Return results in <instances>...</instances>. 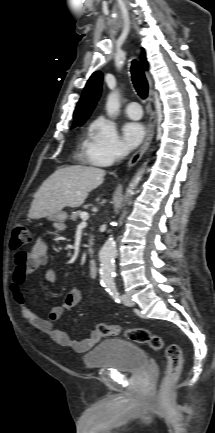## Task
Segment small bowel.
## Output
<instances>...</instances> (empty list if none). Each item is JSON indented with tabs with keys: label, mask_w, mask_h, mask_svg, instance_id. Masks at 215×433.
Here are the masks:
<instances>
[{
	"label": "small bowel",
	"mask_w": 215,
	"mask_h": 433,
	"mask_svg": "<svg viewBox=\"0 0 215 433\" xmlns=\"http://www.w3.org/2000/svg\"><path fill=\"white\" fill-rule=\"evenodd\" d=\"M48 262V244L38 239L29 251H18L14 257L15 268L11 278V291L13 299L19 308L22 319L35 329L47 334L55 343L62 347L72 348L77 353L90 350L101 339L100 334L92 331L88 338L73 340L66 332L54 327L64 312L74 308L81 300V289L75 287L70 290L62 304L52 308L48 318L36 314L28 305L23 288L27 277ZM45 281L53 283L57 280V271L49 268L44 274Z\"/></svg>",
	"instance_id": "c3829d8e"
}]
</instances>
